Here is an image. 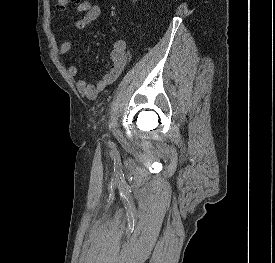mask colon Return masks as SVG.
<instances>
[{"label":"colon","instance_id":"colon-1","mask_svg":"<svg viewBox=\"0 0 275 263\" xmlns=\"http://www.w3.org/2000/svg\"><path fill=\"white\" fill-rule=\"evenodd\" d=\"M75 0H56V7L58 10H63L69 3Z\"/></svg>","mask_w":275,"mask_h":263}]
</instances>
